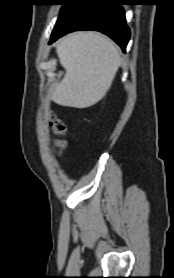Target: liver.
Segmentation results:
<instances>
[{"label":"liver","instance_id":"6515ba94","mask_svg":"<svg viewBox=\"0 0 174 278\" xmlns=\"http://www.w3.org/2000/svg\"><path fill=\"white\" fill-rule=\"evenodd\" d=\"M56 52L66 73L53 90L52 100L75 108H87L99 102L120 66V54L114 42L97 32H76L65 36Z\"/></svg>","mask_w":174,"mask_h":278}]
</instances>
